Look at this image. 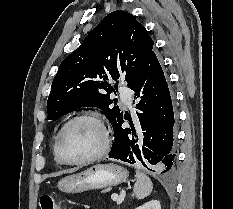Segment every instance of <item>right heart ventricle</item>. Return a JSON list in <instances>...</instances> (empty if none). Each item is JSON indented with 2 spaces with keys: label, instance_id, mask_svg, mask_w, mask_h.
<instances>
[{
  "label": "right heart ventricle",
  "instance_id": "obj_1",
  "mask_svg": "<svg viewBox=\"0 0 233 209\" xmlns=\"http://www.w3.org/2000/svg\"><path fill=\"white\" fill-rule=\"evenodd\" d=\"M53 154H54V157H55L56 161H57L58 163H61V162L57 159V157H56V155H55V140H54V143H53Z\"/></svg>",
  "mask_w": 233,
  "mask_h": 209
}]
</instances>
